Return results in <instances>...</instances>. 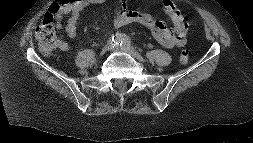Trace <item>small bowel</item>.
Wrapping results in <instances>:
<instances>
[{
    "label": "small bowel",
    "instance_id": "obj_1",
    "mask_svg": "<svg viewBox=\"0 0 253 143\" xmlns=\"http://www.w3.org/2000/svg\"><path fill=\"white\" fill-rule=\"evenodd\" d=\"M108 0H60V6L55 14V26L57 29L63 27V17L68 15L65 24V32L69 38H74L77 33V24L81 12L89 6L101 5ZM171 8H177L171 0L163 2L164 12L171 18L174 23V32L160 20H156L150 14L140 13L129 9V0H119V5L114 10L113 24L115 27H124L129 24H140L145 26L152 33L153 37L164 47L174 48L182 47L186 43L185 33L177 30L180 21H185L183 15L178 10L175 15ZM63 50H68L67 43L60 44Z\"/></svg>",
    "mask_w": 253,
    "mask_h": 143
}]
</instances>
